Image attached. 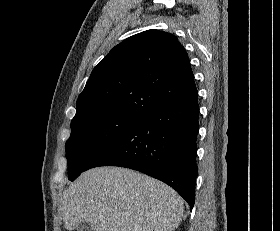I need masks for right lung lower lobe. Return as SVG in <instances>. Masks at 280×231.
<instances>
[{"instance_id": "98d812e1", "label": "right lung lower lobe", "mask_w": 280, "mask_h": 231, "mask_svg": "<svg viewBox=\"0 0 280 231\" xmlns=\"http://www.w3.org/2000/svg\"><path fill=\"white\" fill-rule=\"evenodd\" d=\"M198 119V96L163 105L141 118L84 171L98 166L138 170L170 185L192 209Z\"/></svg>"}]
</instances>
